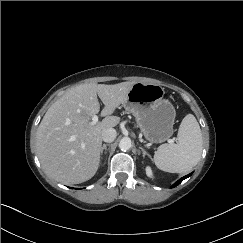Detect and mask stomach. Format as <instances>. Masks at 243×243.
<instances>
[{"label": "stomach", "mask_w": 243, "mask_h": 243, "mask_svg": "<svg viewBox=\"0 0 243 243\" xmlns=\"http://www.w3.org/2000/svg\"><path fill=\"white\" fill-rule=\"evenodd\" d=\"M122 105L135 117L141 133L150 143H162L172 136L176 111L172 103L164 99L162 86L136 82Z\"/></svg>", "instance_id": "0dacf381"}]
</instances>
